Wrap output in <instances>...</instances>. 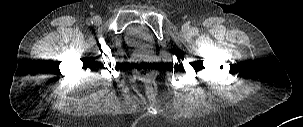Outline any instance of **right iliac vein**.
I'll use <instances>...</instances> for the list:
<instances>
[{"label":"right iliac vein","instance_id":"right-iliac-vein-1","mask_svg":"<svg viewBox=\"0 0 303 127\" xmlns=\"http://www.w3.org/2000/svg\"><path fill=\"white\" fill-rule=\"evenodd\" d=\"M93 23H94L95 25H100V24L102 23L101 17L95 16V17L93 18Z\"/></svg>","mask_w":303,"mask_h":127}]
</instances>
